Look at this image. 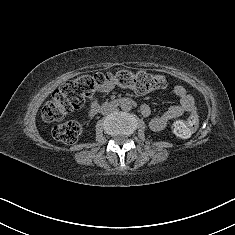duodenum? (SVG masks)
I'll return each instance as SVG.
<instances>
[{
  "label": "duodenum",
  "mask_w": 235,
  "mask_h": 235,
  "mask_svg": "<svg viewBox=\"0 0 235 235\" xmlns=\"http://www.w3.org/2000/svg\"><path fill=\"white\" fill-rule=\"evenodd\" d=\"M124 102V100L123 99H117V100H114V101H112L110 104H105V105H98V104H93V106H92V109H91V111H92V114H97V113H99L104 107H107V106H109V105H119L120 103H123ZM129 103H134L133 101H128Z\"/></svg>",
  "instance_id": "obj_1"
}]
</instances>
